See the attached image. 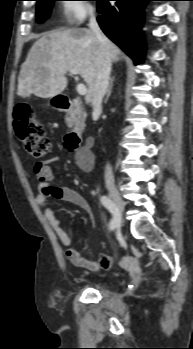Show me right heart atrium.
<instances>
[{"label": "right heart atrium", "mask_w": 193, "mask_h": 349, "mask_svg": "<svg viewBox=\"0 0 193 349\" xmlns=\"http://www.w3.org/2000/svg\"><path fill=\"white\" fill-rule=\"evenodd\" d=\"M63 20L67 24H79L93 13V6L87 0H64Z\"/></svg>", "instance_id": "right-heart-atrium-1"}]
</instances>
